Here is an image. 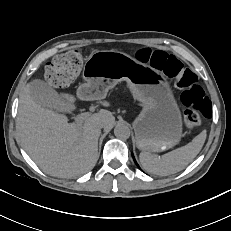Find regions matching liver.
I'll return each instance as SVG.
<instances>
[{
    "mask_svg": "<svg viewBox=\"0 0 231 231\" xmlns=\"http://www.w3.org/2000/svg\"><path fill=\"white\" fill-rule=\"evenodd\" d=\"M68 105L74 104L73 95H60ZM105 98V97H104ZM109 107L110 103L101 101ZM115 123L113 114L105 109L82 122L68 123L65 115L43 108L30 95V83L19 99L17 126L22 145L31 159L46 173L71 178L89 171L98 157L100 125L110 130Z\"/></svg>",
    "mask_w": 231,
    "mask_h": 231,
    "instance_id": "obj_1",
    "label": "liver"
}]
</instances>
